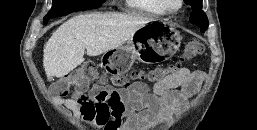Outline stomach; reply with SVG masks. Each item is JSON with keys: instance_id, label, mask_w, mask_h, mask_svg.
Here are the masks:
<instances>
[{"instance_id": "obj_1", "label": "stomach", "mask_w": 257, "mask_h": 130, "mask_svg": "<svg viewBox=\"0 0 257 130\" xmlns=\"http://www.w3.org/2000/svg\"><path fill=\"white\" fill-rule=\"evenodd\" d=\"M181 45L180 32L166 22H150L141 27L126 46L114 48L102 56V65L111 73L126 72L137 59L146 64L171 58Z\"/></svg>"}]
</instances>
